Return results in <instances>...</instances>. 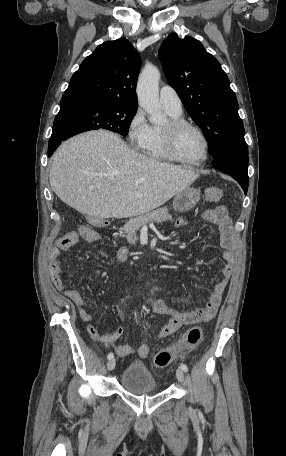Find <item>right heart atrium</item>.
<instances>
[{"label": "right heart atrium", "instance_id": "d8ad5b80", "mask_svg": "<svg viewBox=\"0 0 286 456\" xmlns=\"http://www.w3.org/2000/svg\"><path fill=\"white\" fill-rule=\"evenodd\" d=\"M151 127L141 108H137L127 126V138L134 148H142L148 140Z\"/></svg>", "mask_w": 286, "mask_h": 456}]
</instances>
